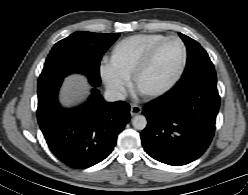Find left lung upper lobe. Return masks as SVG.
<instances>
[{"mask_svg":"<svg viewBox=\"0 0 248 195\" xmlns=\"http://www.w3.org/2000/svg\"><path fill=\"white\" fill-rule=\"evenodd\" d=\"M179 36L187 47L188 59L178 84L187 87L200 82L216 81L215 69L206 51L190 37L182 33Z\"/></svg>","mask_w":248,"mask_h":195,"instance_id":"1","label":"left lung upper lobe"}]
</instances>
